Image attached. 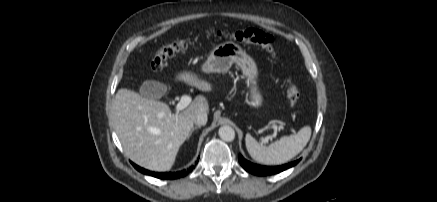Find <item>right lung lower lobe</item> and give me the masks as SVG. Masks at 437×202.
I'll return each instance as SVG.
<instances>
[{
  "instance_id": "obj_1",
  "label": "right lung lower lobe",
  "mask_w": 437,
  "mask_h": 202,
  "mask_svg": "<svg viewBox=\"0 0 437 202\" xmlns=\"http://www.w3.org/2000/svg\"><path fill=\"white\" fill-rule=\"evenodd\" d=\"M197 162H198V160H197ZM197 162H196V164H197ZM132 165L138 171H140L144 174H147V175H151V176L156 177V178H160V179H176L179 177H183V176L187 175L190 171H192V169L195 167V165H194V166L190 167V169H188V170H183V171H179V172L157 173V172H151V171H148L146 169H143V168L135 165L134 163H132Z\"/></svg>"
}]
</instances>
